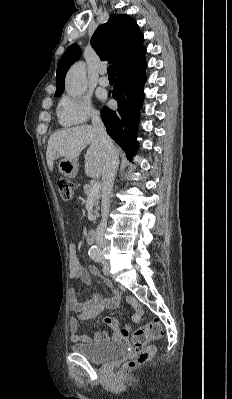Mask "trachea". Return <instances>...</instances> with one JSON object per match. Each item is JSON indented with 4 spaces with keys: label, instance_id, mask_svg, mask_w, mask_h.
Here are the masks:
<instances>
[{
    "label": "trachea",
    "instance_id": "trachea-1",
    "mask_svg": "<svg viewBox=\"0 0 232 399\" xmlns=\"http://www.w3.org/2000/svg\"><path fill=\"white\" fill-rule=\"evenodd\" d=\"M108 77H114L112 65L107 68Z\"/></svg>",
    "mask_w": 232,
    "mask_h": 399
}]
</instances>
